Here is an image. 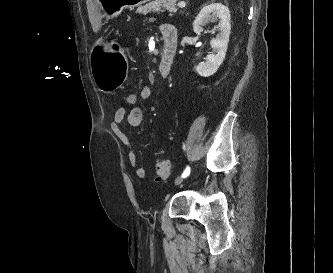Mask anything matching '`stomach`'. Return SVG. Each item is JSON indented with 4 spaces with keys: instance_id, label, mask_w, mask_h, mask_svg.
Here are the masks:
<instances>
[{
    "instance_id": "0dacf381",
    "label": "stomach",
    "mask_w": 333,
    "mask_h": 273,
    "mask_svg": "<svg viewBox=\"0 0 333 273\" xmlns=\"http://www.w3.org/2000/svg\"><path fill=\"white\" fill-rule=\"evenodd\" d=\"M149 0H95L101 4L99 14H104V23H115L118 14L124 8L141 6ZM93 49L91 72L96 86L102 92L121 87L123 75L127 73L128 58H120V53L112 49L108 39H101Z\"/></svg>"
}]
</instances>
